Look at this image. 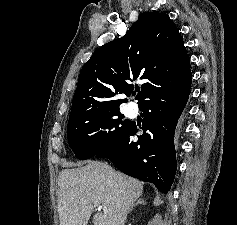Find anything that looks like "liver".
<instances>
[{"instance_id":"6515ba94","label":"liver","mask_w":237,"mask_h":225,"mask_svg":"<svg viewBox=\"0 0 237 225\" xmlns=\"http://www.w3.org/2000/svg\"><path fill=\"white\" fill-rule=\"evenodd\" d=\"M58 187L60 225H87L95 202L102 211L94 214V225H124L129 208L143 194L140 181L100 161L63 169L58 176Z\"/></svg>"}]
</instances>
